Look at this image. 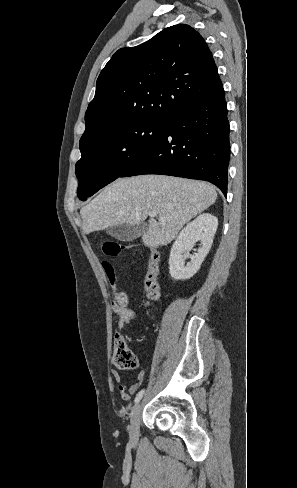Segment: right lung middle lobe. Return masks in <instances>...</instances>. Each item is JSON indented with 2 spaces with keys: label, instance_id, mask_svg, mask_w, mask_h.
<instances>
[{
  "label": "right lung middle lobe",
  "instance_id": "obj_1",
  "mask_svg": "<svg viewBox=\"0 0 297 488\" xmlns=\"http://www.w3.org/2000/svg\"><path fill=\"white\" fill-rule=\"evenodd\" d=\"M168 120H143L118 128L81 150L77 196L84 201L128 170L158 139Z\"/></svg>",
  "mask_w": 297,
  "mask_h": 488
}]
</instances>
